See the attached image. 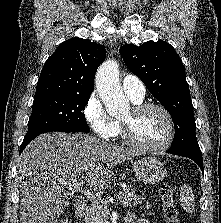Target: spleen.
<instances>
[{"mask_svg": "<svg viewBox=\"0 0 221 223\" xmlns=\"http://www.w3.org/2000/svg\"><path fill=\"white\" fill-rule=\"evenodd\" d=\"M180 204L187 213L194 212L195 197H194L192 188L188 186L187 184H184L181 187Z\"/></svg>", "mask_w": 221, "mask_h": 223, "instance_id": "3e777b00", "label": "spleen"}]
</instances>
